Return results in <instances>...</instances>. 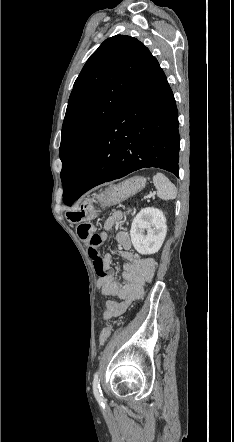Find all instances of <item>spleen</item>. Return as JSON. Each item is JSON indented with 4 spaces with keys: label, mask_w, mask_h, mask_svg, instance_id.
I'll use <instances>...</instances> for the list:
<instances>
[{
    "label": "spleen",
    "mask_w": 234,
    "mask_h": 442,
    "mask_svg": "<svg viewBox=\"0 0 234 442\" xmlns=\"http://www.w3.org/2000/svg\"><path fill=\"white\" fill-rule=\"evenodd\" d=\"M154 186L157 189V196L163 200L175 199L177 189L175 185L162 173L158 172L153 177Z\"/></svg>",
    "instance_id": "spleen-1"
}]
</instances>
